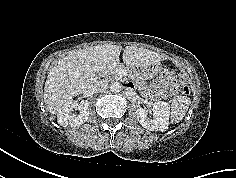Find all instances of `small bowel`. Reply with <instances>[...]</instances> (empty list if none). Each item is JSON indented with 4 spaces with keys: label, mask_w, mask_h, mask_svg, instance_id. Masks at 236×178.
Instances as JSON below:
<instances>
[{
    "label": "small bowel",
    "mask_w": 236,
    "mask_h": 178,
    "mask_svg": "<svg viewBox=\"0 0 236 178\" xmlns=\"http://www.w3.org/2000/svg\"><path fill=\"white\" fill-rule=\"evenodd\" d=\"M187 82L188 76L186 73H180L178 82L173 79H166L161 75L150 83V88L144 92V95L153 100H161L175 94L180 88L182 89ZM128 86L133 87L134 84L131 82Z\"/></svg>",
    "instance_id": "small-bowel-1"
}]
</instances>
